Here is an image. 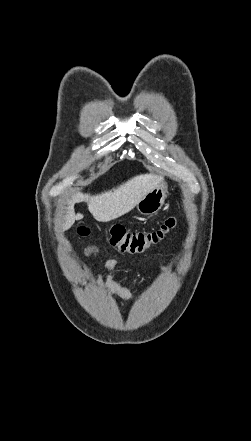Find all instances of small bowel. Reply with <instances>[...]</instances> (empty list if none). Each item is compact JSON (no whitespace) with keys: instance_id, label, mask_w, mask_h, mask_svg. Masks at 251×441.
<instances>
[{"instance_id":"obj_1","label":"small bowel","mask_w":251,"mask_h":441,"mask_svg":"<svg viewBox=\"0 0 251 441\" xmlns=\"http://www.w3.org/2000/svg\"><path fill=\"white\" fill-rule=\"evenodd\" d=\"M95 246H88L84 249L85 256H95L97 254ZM118 269V261L114 258L108 259L105 263V274L98 273L95 278L96 286L105 295L114 296L124 300H136L139 298L137 294L131 292L128 288L121 285L116 279V272ZM162 269L168 272L166 265H162Z\"/></svg>"}]
</instances>
